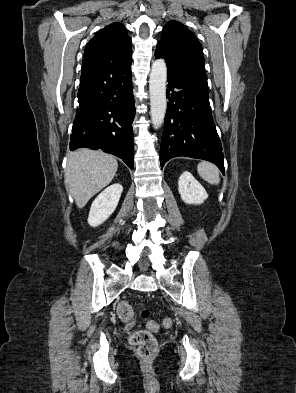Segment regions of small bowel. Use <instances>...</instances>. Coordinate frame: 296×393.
<instances>
[{
    "mask_svg": "<svg viewBox=\"0 0 296 393\" xmlns=\"http://www.w3.org/2000/svg\"><path fill=\"white\" fill-rule=\"evenodd\" d=\"M135 326V320L132 318L129 321H125V328L132 329Z\"/></svg>",
    "mask_w": 296,
    "mask_h": 393,
    "instance_id": "small-bowel-1",
    "label": "small bowel"
}]
</instances>
